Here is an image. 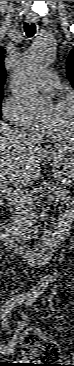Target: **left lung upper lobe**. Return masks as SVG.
<instances>
[{
    "mask_svg": "<svg viewBox=\"0 0 74 366\" xmlns=\"http://www.w3.org/2000/svg\"><path fill=\"white\" fill-rule=\"evenodd\" d=\"M67 76L74 87V49L70 51V55L67 59Z\"/></svg>",
    "mask_w": 74,
    "mask_h": 366,
    "instance_id": "left-lung-upper-lobe-1",
    "label": "left lung upper lobe"
}]
</instances>
